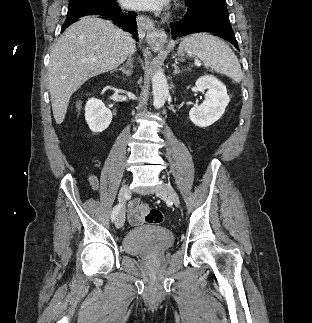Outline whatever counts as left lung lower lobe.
<instances>
[{
  "mask_svg": "<svg viewBox=\"0 0 312 323\" xmlns=\"http://www.w3.org/2000/svg\"><path fill=\"white\" fill-rule=\"evenodd\" d=\"M172 38L208 32L233 43L239 50L235 34L229 21L226 0H217L201 6L198 13L171 23Z\"/></svg>",
  "mask_w": 312,
  "mask_h": 323,
  "instance_id": "1",
  "label": "left lung lower lobe"
}]
</instances>
